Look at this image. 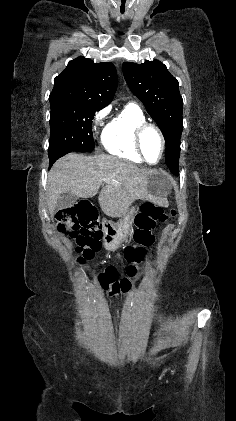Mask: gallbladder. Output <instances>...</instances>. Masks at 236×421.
I'll list each match as a JSON object with an SVG mask.
<instances>
[{"mask_svg": "<svg viewBox=\"0 0 236 421\" xmlns=\"http://www.w3.org/2000/svg\"><path fill=\"white\" fill-rule=\"evenodd\" d=\"M77 200L78 196H74L72 192H63V194H60L57 200L54 213H57V211H62V208H69V206H73Z\"/></svg>", "mask_w": 236, "mask_h": 421, "instance_id": "obj_1", "label": "gallbladder"}]
</instances>
